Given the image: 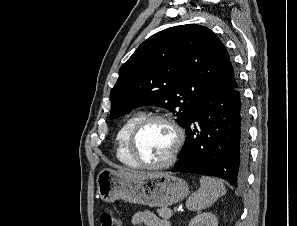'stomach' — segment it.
<instances>
[{"label": "stomach", "mask_w": 297, "mask_h": 226, "mask_svg": "<svg viewBox=\"0 0 297 226\" xmlns=\"http://www.w3.org/2000/svg\"><path fill=\"white\" fill-rule=\"evenodd\" d=\"M97 193L105 202L122 199L146 206L166 207L187 197L185 180L168 173L144 178H127L112 169H103L97 176Z\"/></svg>", "instance_id": "obj_1"}]
</instances>
